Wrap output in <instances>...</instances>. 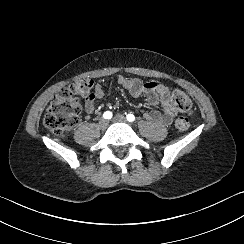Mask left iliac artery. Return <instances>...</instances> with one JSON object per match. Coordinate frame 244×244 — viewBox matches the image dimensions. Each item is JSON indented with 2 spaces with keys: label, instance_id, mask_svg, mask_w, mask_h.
<instances>
[{
  "label": "left iliac artery",
  "instance_id": "obj_1",
  "mask_svg": "<svg viewBox=\"0 0 244 244\" xmlns=\"http://www.w3.org/2000/svg\"><path fill=\"white\" fill-rule=\"evenodd\" d=\"M127 120L129 121V122H133L134 120H135V116L133 115V114H128L127 116Z\"/></svg>",
  "mask_w": 244,
  "mask_h": 244
}]
</instances>
